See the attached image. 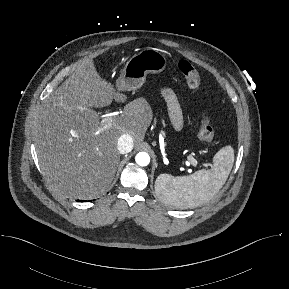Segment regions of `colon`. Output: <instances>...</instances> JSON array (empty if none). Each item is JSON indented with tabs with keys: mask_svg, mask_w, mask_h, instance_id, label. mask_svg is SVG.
Segmentation results:
<instances>
[{
	"mask_svg": "<svg viewBox=\"0 0 289 289\" xmlns=\"http://www.w3.org/2000/svg\"><path fill=\"white\" fill-rule=\"evenodd\" d=\"M178 69L190 88L197 89L200 86L201 80L199 73L188 60L179 61ZM199 137L208 143L214 141L215 131L207 116H203L201 119Z\"/></svg>",
	"mask_w": 289,
	"mask_h": 289,
	"instance_id": "obj_1",
	"label": "colon"
}]
</instances>
